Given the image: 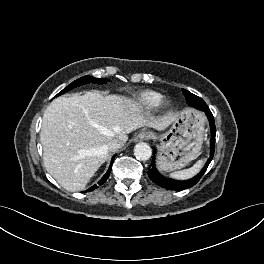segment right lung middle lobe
Returning a JSON list of instances; mask_svg holds the SVG:
<instances>
[{"label":"right lung middle lobe","instance_id":"dd1d6c3e","mask_svg":"<svg viewBox=\"0 0 264 264\" xmlns=\"http://www.w3.org/2000/svg\"><path fill=\"white\" fill-rule=\"evenodd\" d=\"M106 81H109L105 78H94V77H91V76H84V77H81L77 80H75L74 82H72L69 86H67L66 88H64L61 92H59L56 96H59V95H62L64 94L65 92L75 88V87H78L80 85H83V84H87V83H96V84H104Z\"/></svg>","mask_w":264,"mask_h":264}]
</instances>
